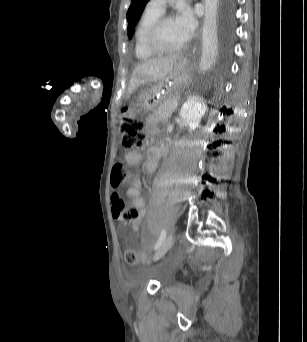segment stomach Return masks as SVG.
<instances>
[{"mask_svg": "<svg viewBox=\"0 0 307 342\" xmlns=\"http://www.w3.org/2000/svg\"><path fill=\"white\" fill-rule=\"evenodd\" d=\"M192 60L179 56L172 70L160 81L143 85L138 89L134 105L142 111H153L169 97H180L190 85L192 76Z\"/></svg>", "mask_w": 307, "mask_h": 342, "instance_id": "1", "label": "stomach"}]
</instances>
